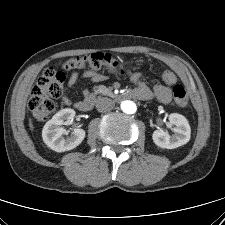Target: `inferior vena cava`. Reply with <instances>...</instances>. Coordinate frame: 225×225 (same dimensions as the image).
Masks as SVG:
<instances>
[{
    "mask_svg": "<svg viewBox=\"0 0 225 225\" xmlns=\"http://www.w3.org/2000/svg\"><path fill=\"white\" fill-rule=\"evenodd\" d=\"M114 107V102L106 97L99 98L96 103V108L99 112H108Z\"/></svg>",
    "mask_w": 225,
    "mask_h": 225,
    "instance_id": "602c4592",
    "label": "inferior vena cava"
}]
</instances>
